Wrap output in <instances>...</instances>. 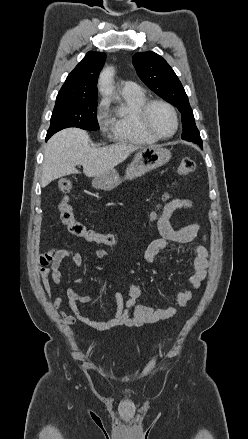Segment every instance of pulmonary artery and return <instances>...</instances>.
I'll return each instance as SVG.
<instances>
[{
    "instance_id": "pulmonary-artery-1",
    "label": "pulmonary artery",
    "mask_w": 248,
    "mask_h": 439,
    "mask_svg": "<svg viewBox=\"0 0 248 439\" xmlns=\"http://www.w3.org/2000/svg\"><path fill=\"white\" fill-rule=\"evenodd\" d=\"M138 89L139 87L132 81H123L121 83L122 92H134Z\"/></svg>"
}]
</instances>
